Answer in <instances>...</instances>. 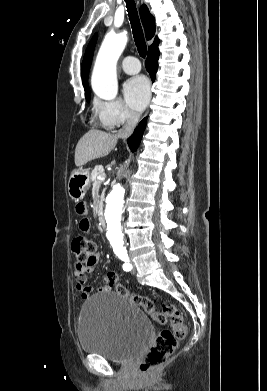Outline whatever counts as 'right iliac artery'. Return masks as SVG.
<instances>
[{
    "instance_id": "82829eb1",
    "label": "right iliac artery",
    "mask_w": 267,
    "mask_h": 391,
    "mask_svg": "<svg viewBox=\"0 0 267 391\" xmlns=\"http://www.w3.org/2000/svg\"><path fill=\"white\" fill-rule=\"evenodd\" d=\"M121 259L125 262V264H123V269L125 271H130L132 269V265L129 263V258L126 256Z\"/></svg>"
}]
</instances>
